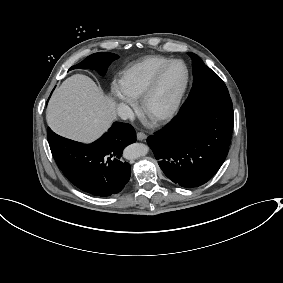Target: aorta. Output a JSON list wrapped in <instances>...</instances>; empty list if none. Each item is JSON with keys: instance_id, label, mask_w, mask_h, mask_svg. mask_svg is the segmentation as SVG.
<instances>
[{"instance_id": "aorta-1", "label": "aorta", "mask_w": 283, "mask_h": 283, "mask_svg": "<svg viewBox=\"0 0 283 283\" xmlns=\"http://www.w3.org/2000/svg\"><path fill=\"white\" fill-rule=\"evenodd\" d=\"M148 151V145L143 143H134L125 148L123 156L128 160H133L145 156Z\"/></svg>"}]
</instances>
